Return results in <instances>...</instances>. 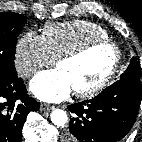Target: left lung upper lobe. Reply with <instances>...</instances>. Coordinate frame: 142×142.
Listing matches in <instances>:
<instances>
[{"label": "left lung upper lobe", "instance_id": "1", "mask_svg": "<svg viewBox=\"0 0 142 142\" xmlns=\"http://www.w3.org/2000/svg\"><path fill=\"white\" fill-rule=\"evenodd\" d=\"M129 77H138L141 78V70L139 68V64L136 61V59L133 57L131 59V62L127 68V70L121 74L120 79H125V78H129Z\"/></svg>", "mask_w": 142, "mask_h": 142}]
</instances>
